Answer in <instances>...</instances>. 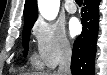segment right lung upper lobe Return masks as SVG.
Segmentation results:
<instances>
[{"label": "right lung upper lobe", "mask_w": 107, "mask_h": 75, "mask_svg": "<svg viewBox=\"0 0 107 75\" xmlns=\"http://www.w3.org/2000/svg\"><path fill=\"white\" fill-rule=\"evenodd\" d=\"M37 2L36 0H26L24 5L25 23H34L37 19Z\"/></svg>", "instance_id": "cb5924a9"}]
</instances>
